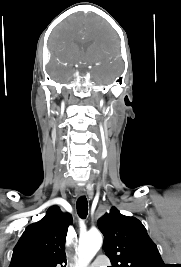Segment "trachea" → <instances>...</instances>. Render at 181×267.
Returning <instances> with one entry per match:
<instances>
[{"label":"trachea","instance_id":"trachea-1","mask_svg":"<svg viewBox=\"0 0 181 267\" xmlns=\"http://www.w3.org/2000/svg\"><path fill=\"white\" fill-rule=\"evenodd\" d=\"M78 215L84 219L88 214V202L85 196L80 197L76 203Z\"/></svg>","mask_w":181,"mask_h":267}]
</instances>
